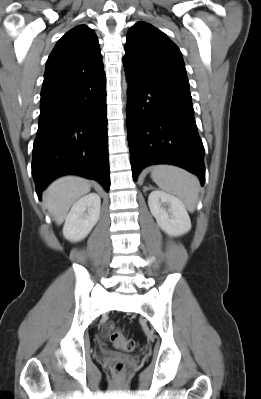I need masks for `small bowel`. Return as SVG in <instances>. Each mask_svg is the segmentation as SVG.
I'll list each match as a JSON object with an SVG mask.
<instances>
[{"label":"small bowel","instance_id":"obj_1","mask_svg":"<svg viewBox=\"0 0 261 399\" xmlns=\"http://www.w3.org/2000/svg\"><path fill=\"white\" fill-rule=\"evenodd\" d=\"M110 326H111L110 323L106 324V325L103 327V332H104V333H107L108 330L110 329Z\"/></svg>","mask_w":261,"mask_h":399}]
</instances>
